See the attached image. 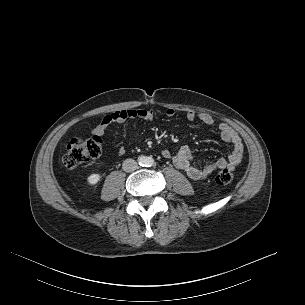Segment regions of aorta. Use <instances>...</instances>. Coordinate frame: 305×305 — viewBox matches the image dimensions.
<instances>
[{
    "label": "aorta",
    "instance_id": "aorta-1",
    "mask_svg": "<svg viewBox=\"0 0 305 305\" xmlns=\"http://www.w3.org/2000/svg\"><path fill=\"white\" fill-rule=\"evenodd\" d=\"M138 160H139V164L141 165H148L150 163L149 157L146 156H140Z\"/></svg>",
    "mask_w": 305,
    "mask_h": 305
}]
</instances>
